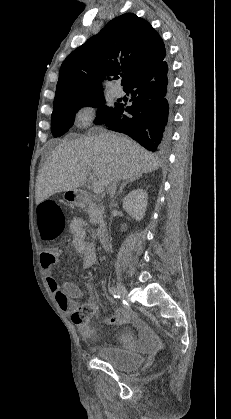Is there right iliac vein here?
Segmentation results:
<instances>
[{
  "mask_svg": "<svg viewBox=\"0 0 231 419\" xmlns=\"http://www.w3.org/2000/svg\"><path fill=\"white\" fill-rule=\"evenodd\" d=\"M116 288H117L120 296L122 297V299L128 300L127 290L121 282L116 283Z\"/></svg>",
  "mask_w": 231,
  "mask_h": 419,
  "instance_id": "1",
  "label": "right iliac vein"
}]
</instances>
